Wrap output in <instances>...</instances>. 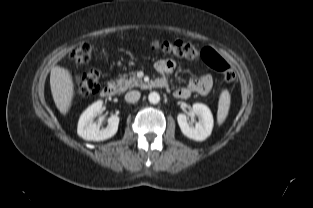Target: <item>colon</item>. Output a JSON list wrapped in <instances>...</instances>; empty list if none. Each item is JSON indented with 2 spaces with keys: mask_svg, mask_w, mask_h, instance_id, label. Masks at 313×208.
Returning a JSON list of instances; mask_svg holds the SVG:
<instances>
[{
  "mask_svg": "<svg viewBox=\"0 0 313 208\" xmlns=\"http://www.w3.org/2000/svg\"><path fill=\"white\" fill-rule=\"evenodd\" d=\"M152 48L164 54L195 60L201 58L212 69L220 72L227 82L236 78L234 69L215 50L206 47L199 51L194 45L183 40L154 41ZM92 47L89 43H80L72 52L71 58L77 64H86L91 58ZM76 92L81 96L96 94L100 89V72L90 69L76 78Z\"/></svg>",
  "mask_w": 313,
  "mask_h": 208,
  "instance_id": "obj_1",
  "label": "colon"
}]
</instances>
